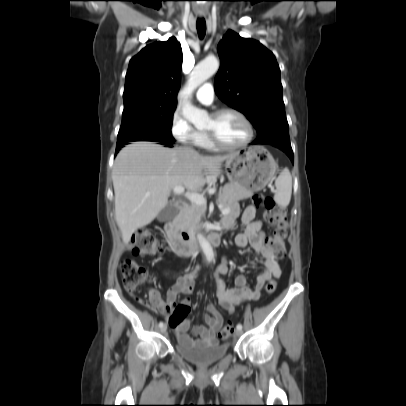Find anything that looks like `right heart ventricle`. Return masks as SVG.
Wrapping results in <instances>:
<instances>
[{"label": "right heart ventricle", "mask_w": 406, "mask_h": 406, "mask_svg": "<svg viewBox=\"0 0 406 406\" xmlns=\"http://www.w3.org/2000/svg\"><path fill=\"white\" fill-rule=\"evenodd\" d=\"M198 145L202 148L205 149H209V150H213L215 149V145L211 142V140L209 139V137L207 136V134L203 133V136L200 140V142L198 143Z\"/></svg>", "instance_id": "1"}]
</instances>
